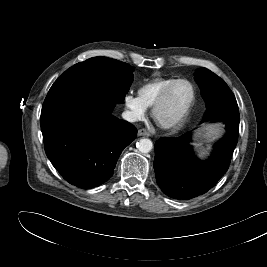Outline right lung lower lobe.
<instances>
[{"label":"right lung lower lobe","instance_id":"98d812e1","mask_svg":"<svg viewBox=\"0 0 267 267\" xmlns=\"http://www.w3.org/2000/svg\"><path fill=\"white\" fill-rule=\"evenodd\" d=\"M116 102L75 93L42 106L47 157L70 184L89 189L105 183L123 151L137 136L130 123L111 114Z\"/></svg>","mask_w":267,"mask_h":267}]
</instances>
